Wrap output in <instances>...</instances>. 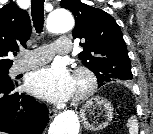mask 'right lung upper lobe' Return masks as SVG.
<instances>
[{
  "mask_svg": "<svg viewBox=\"0 0 153 134\" xmlns=\"http://www.w3.org/2000/svg\"><path fill=\"white\" fill-rule=\"evenodd\" d=\"M31 35V22L28 13L15 3H9L0 9V70L9 69L13 61L8 53L26 48Z\"/></svg>",
  "mask_w": 153,
  "mask_h": 134,
  "instance_id": "1",
  "label": "right lung upper lobe"
}]
</instances>
